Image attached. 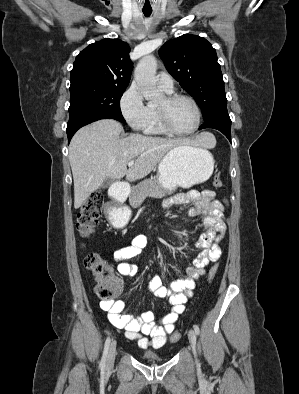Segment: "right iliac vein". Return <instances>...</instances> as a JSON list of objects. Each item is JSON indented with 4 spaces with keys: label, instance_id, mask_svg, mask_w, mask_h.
I'll return each instance as SVG.
<instances>
[{
    "label": "right iliac vein",
    "instance_id": "right-iliac-vein-1",
    "mask_svg": "<svg viewBox=\"0 0 299 394\" xmlns=\"http://www.w3.org/2000/svg\"><path fill=\"white\" fill-rule=\"evenodd\" d=\"M115 355H116V342L113 341L109 347L108 354H107V359H106V369L110 370L114 366V361H115Z\"/></svg>",
    "mask_w": 299,
    "mask_h": 394
}]
</instances>
